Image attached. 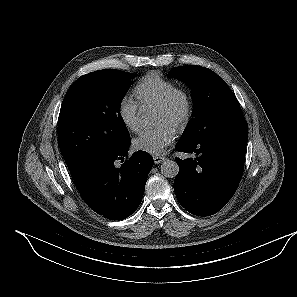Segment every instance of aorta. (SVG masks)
I'll use <instances>...</instances> for the list:
<instances>
[{"label": "aorta", "instance_id": "aorta-1", "mask_svg": "<svg viewBox=\"0 0 297 297\" xmlns=\"http://www.w3.org/2000/svg\"><path fill=\"white\" fill-rule=\"evenodd\" d=\"M156 121L154 113H144L141 117V122L145 126L153 125ZM179 172L178 164L173 160H165L161 164V173L168 178H174Z\"/></svg>", "mask_w": 297, "mask_h": 297}]
</instances>
